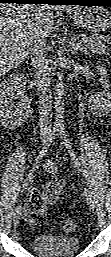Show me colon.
<instances>
[{
  "label": "colon",
  "instance_id": "5ec220e1",
  "mask_svg": "<svg viewBox=\"0 0 111 257\" xmlns=\"http://www.w3.org/2000/svg\"><path fill=\"white\" fill-rule=\"evenodd\" d=\"M62 228L65 232H74L77 228V224L74 220L68 219L63 222Z\"/></svg>",
  "mask_w": 111,
  "mask_h": 257
}]
</instances>
